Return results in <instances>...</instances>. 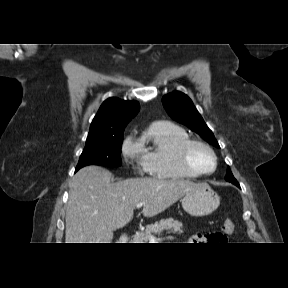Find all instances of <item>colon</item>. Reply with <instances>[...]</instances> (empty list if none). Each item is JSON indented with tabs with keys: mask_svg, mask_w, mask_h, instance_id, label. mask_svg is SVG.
Wrapping results in <instances>:
<instances>
[{
	"mask_svg": "<svg viewBox=\"0 0 288 288\" xmlns=\"http://www.w3.org/2000/svg\"><path fill=\"white\" fill-rule=\"evenodd\" d=\"M222 233H215L214 242H223L227 235H230L234 232V224L230 220H225L222 226Z\"/></svg>",
	"mask_w": 288,
	"mask_h": 288,
	"instance_id": "colon-1",
	"label": "colon"
}]
</instances>
